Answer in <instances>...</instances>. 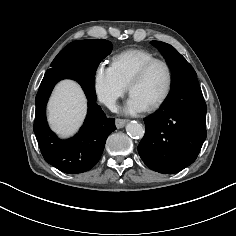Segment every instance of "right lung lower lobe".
Segmentation results:
<instances>
[{
    "label": "right lung lower lobe",
    "instance_id": "1",
    "mask_svg": "<svg viewBox=\"0 0 236 236\" xmlns=\"http://www.w3.org/2000/svg\"><path fill=\"white\" fill-rule=\"evenodd\" d=\"M98 55H80L84 66L52 68L48 70L36 95V116L33 126L41 153L46 162L68 174L90 170L99 161L106 139L113 132L115 119L107 118L97 105L94 75L101 60ZM74 79L83 88L88 99V114L80 131L71 139L61 140L46 121V104L55 84L61 79Z\"/></svg>",
    "mask_w": 236,
    "mask_h": 236
}]
</instances>
